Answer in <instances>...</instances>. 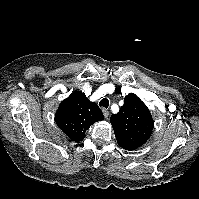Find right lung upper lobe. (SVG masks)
Returning a JSON list of instances; mask_svg holds the SVG:
<instances>
[{
  "mask_svg": "<svg viewBox=\"0 0 199 199\" xmlns=\"http://www.w3.org/2000/svg\"><path fill=\"white\" fill-rule=\"evenodd\" d=\"M103 117L96 103L90 102L82 92L75 91L60 103L55 122L67 137L79 142L90 126L102 121Z\"/></svg>",
  "mask_w": 199,
  "mask_h": 199,
  "instance_id": "cb5924a9",
  "label": "right lung upper lobe"
}]
</instances>
